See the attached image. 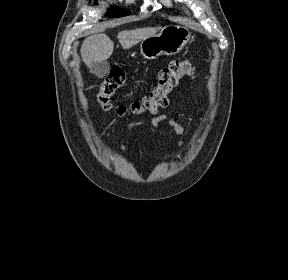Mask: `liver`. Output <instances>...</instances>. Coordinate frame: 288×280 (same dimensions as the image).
<instances>
[{
  "instance_id": "liver-1",
  "label": "liver",
  "mask_w": 288,
  "mask_h": 280,
  "mask_svg": "<svg viewBox=\"0 0 288 280\" xmlns=\"http://www.w3.org/2000/svg\"><path fill=\"white\" fill-rule=\"evenodd\" d=\"M159 28L148 27L134 30H125L118 33L117 38L123 49H129L139 41L156 35ZM114 42L104 33L87 37L81 46L80 52L83 62L91 67L92 63L106 61L113 53Z\"/></svg>"
}]
</instances>
